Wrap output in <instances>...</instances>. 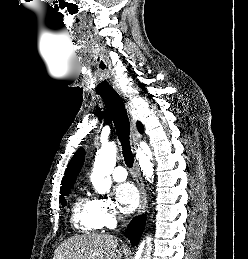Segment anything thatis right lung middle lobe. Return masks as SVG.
Here are the masks:
<instances>
[{
    "mask_svg": "<svg viewBox=\"0 0 248 259\" xmlns=\"http://www.w3.org/2000/svg\"><path fill=\"white\" fill-rule=\"evenodd\" d=\"M69 192H70V189L60 192L62 194V195H60V202L62 203L63 206L66 205V200H65L64 196H67L69 194Z\"/></svg>",
    "mask_w": 248,
    "mask_h": 259,
    "instance_id": "dd1d6c3e",
    "label": "right lung middle lobe"
}]
</instances>
